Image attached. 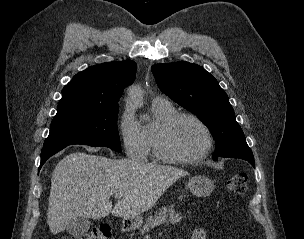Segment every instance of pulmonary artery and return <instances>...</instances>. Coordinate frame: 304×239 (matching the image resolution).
Here are the masks:
<instances>
[{"instance_id":"pulmonary-artery-1","label":"pulmonary artery","mask_w":304,"mask_h":239,"mask_svg":"<svg viewBox=\"0 0 304 239\" xmlns=\"http://www.w3.org/2000/svg\"><path fill=\"white\" fill-rule=\"evenodd\" d=\"M162 99L161 97H155L153 100H160Z\"/></svg>"}]
</instances>
